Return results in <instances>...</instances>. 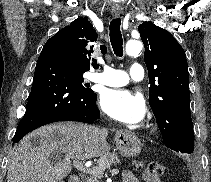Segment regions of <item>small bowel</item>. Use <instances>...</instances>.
Masks as SVG:
<instances>
[{"label":"small bowel","instance_id":"1","mask_svg":"<svg viewBox=\"0 0 211 182\" xmlns=\"http://www.w3.org/2000/svg\"><path fill=\"white\" fill-rule=\"evenodd\" d=\"M123 182H138L137 178L129 171L123 172Z\"/></svg>","mask_w":211,"mask_h":182}]
</instances>
